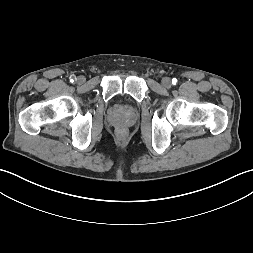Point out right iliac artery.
<instances>
[{
	"instance_id": "1",
	"label": "right iliac artery",
	"mask_w": 253,
	"mask_h": 253,
	"mask_svg": "<svg viewBox=\"0 0 253 253\" xmlns=\"http://www.w3.org/2000/svg\"><path fill=\"white\" fill-rule=\"evenodd\" d=\"M75 80H76V76L75 75H71L70 76V82L73 83Z\"/></svg>"
}]
</instances>
